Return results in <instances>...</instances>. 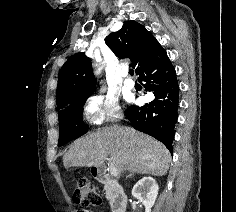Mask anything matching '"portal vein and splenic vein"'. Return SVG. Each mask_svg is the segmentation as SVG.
Here are the masks:
<instances>
[{
	"label": "portal vein and splenic vein",
	"mask_w": 236,
	"mask_h": 212,
	"mask_svg": "<svg viewBox=\"0 0 236 212\" xmlns=\"http://www.w3.org/2000/svg\"><path fill=\"white\" fill-rule=\"evenodd\" d=\"M109 160H111V159H109ZM110 174H111V176H117L118 175V169L116 168V167H114L113 165H110Z\"/></svg>",
	"instance_id": "obj_1"
}]
</instances>
